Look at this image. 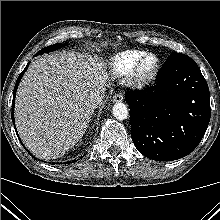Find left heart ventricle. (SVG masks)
Instances as JSON below:
<instances>
[{
    "instance_id": "left-heart-ventricle-1",
    "label": "left heart ventricle",
    "mask_w": 220,
    "mask_h": 220,
    "mask_svg": "<svg viewBox=\"0 0 220 220\" xmlns=\"http://www.w3.org/2000/svg\"><path fill=\"white\" fill-rule=\"evenodd\" d=\"M153 64V59L148 58L143 64V70H148Z\"/></svg>"
}]
</instances>
